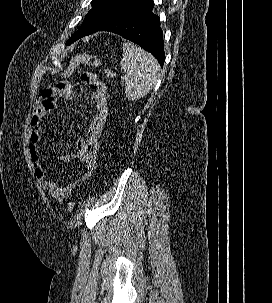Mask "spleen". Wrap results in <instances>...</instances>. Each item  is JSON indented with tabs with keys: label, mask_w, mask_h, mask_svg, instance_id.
<instances>
[{
	"label": "spleen",
	"mask_w": 272,
	"mask_h": 303,
	"mask_svg": "<svg viewBox=\"0 0 272 303\" xmlns=\"http://www.w3.org/2000/svg\"><path fill=\"white\" fill-rule=\"evenodd\" d=\"M120 62L125 75L121 77L125 83V94L129 100L135 101L146 96L160 79V65L157 60L140 47L125 42Z\"/></svg>",
	"instance_id": "1"
}]
</instances>
